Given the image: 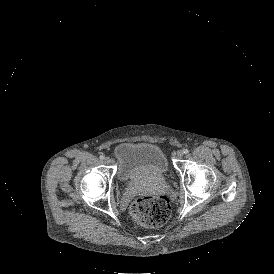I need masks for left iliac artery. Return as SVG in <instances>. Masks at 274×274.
Segmentation results:
<instances>
[{"label": "left iliac artery", "instance_id": "left-iliac-artery-1", "mask_svg": "<svg viewBox=\"0 0 274 274\" xmlns=\"http://www.w3.org/2000/svg\"><path fill=\"white\" fill-rule=\"evenodd\" d=\"M183 152H184L185 154H188V153H189V150H188V149H184Z\"/></svg>", "mask_w": 274, "mask_h": 274}]
</instances>
